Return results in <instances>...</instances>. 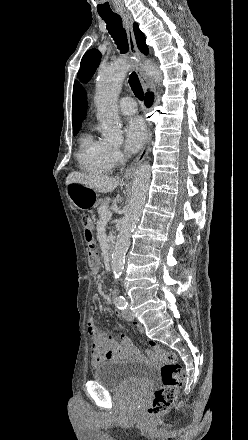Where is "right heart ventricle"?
<instances>
[{
	"instance_id": "obj_1",
	"label": "right heart ventricle",
	"mask_w": 248,
	"mask_h": 440,
	"mask_svg": "<svg viewBox=\"0 0 248 440\" xmlns=\"http://www.w3.org/2000/svg\"><path fill=\"white\" fill-rule=\"evenodd\" d=\"M109 147L102 141L96 139L91 133H86L80 139L77 152L79 167L90 174H107L111 171L112 165L108 159Z\"/></svg>"
}]
</instances>
